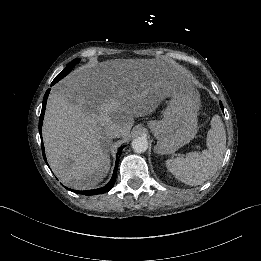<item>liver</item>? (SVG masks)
<instances>
[{
  "instance_id": "1",
  "label": "liver",
  "mask_w": 261,
  "mask_h": 261,
  "mask_svg": "<svg viewBox=\"0 0 261 261\" xmlns=\"http://www.w3.org/2000/svg\"><path fill=\"white\" fill-rule=\"evenodd\" d=\"M190 84L180 69L128 64L83 66L56 85L47 101L42 135L48 163L57 178L76 190L94 188L110 170L114 125L127 138L134 117L149 115L175 91Z\"/></svg>"
}]
</instances>
